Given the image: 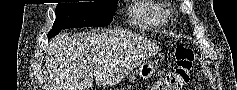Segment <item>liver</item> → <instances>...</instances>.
<instances>
[{"label": "liver", "mask_w": 237, "mask_h": 90, "mask_svg": "<svg viewBox=\"0 0 237 90\" xmlns=\"http://www.w3.org/2000/svg\"><path fill=\"white\" fill-rule=\"evenodd\" d=\"M45 66L51 74L47 90H89L93 68L102 70L105 62L115 64L116 38L110 30L83 34H59L50 42Z\"/></svg>", "instance_id": "liver-1"}]
</instances>
